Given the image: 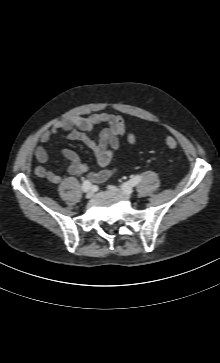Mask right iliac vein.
I'll use <instances>...</instances> for the list:
<instances>
[{
	"label": "right iliac vein",
	"instance_id": "1",
	"mask_svg": "<svg viewBox=\"0 0 220 363\" xmlns=\"http://www.w3.org/2000/svg\"><path fill=\"white\" fill-rule=\"evenodd\" d=\"M93 197V192L92 191H88L87 193H86V198L87 199H90V198H92Z\"/></svg>",
	"mask_w": 220,
	"mask_h": 363
}]
</instances>
